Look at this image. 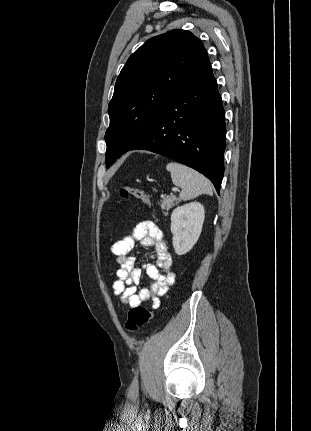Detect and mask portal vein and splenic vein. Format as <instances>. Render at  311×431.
Instances as JSON below:
<instances>
[{"instance_id":"obj_1","label":"portal vein and splenic vein","mask_w":311,"mask_h":431,"mask_svg":"<svg viewBox=\"0 0 311 431\" xmlns=\"http://www.w3.org/2000/svg\"><path fill=\"white\" fill-rule=\"evenodd\" d=\"M172 192H179L178 188H172Z\"/></svg>"}]
</instances>
